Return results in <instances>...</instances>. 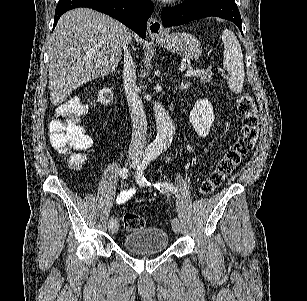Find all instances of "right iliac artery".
<instances>
[{
	"instance_id": "1",
	"label": "right iliac artery",
	"mask_w": 307,
	"mask_h": 301,
	"mask_svg": "<svg viewBox=\"0 0 307 301\" xmlns=\"http://www.w3.org/2000/svg\"><path fill=\"white\" fill-rule=\"evenodd\" d=\"M120 176L125 179L128 176V169L125 167H122L120 169ZM113 225H114V220L111 218L108 223V228L112 229Z\"/></svg>"
}]
</instances>
